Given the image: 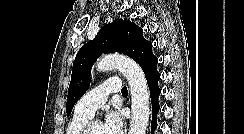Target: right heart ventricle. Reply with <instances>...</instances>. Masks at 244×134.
Wrapping results in <instances>:
<instances>
[{"instance_id":"e07e8e85","label":"right heart ventricle","mask_w":244,"mask_h":134,"mask_svg":"<svg viewBox=\"0 0 244 134\" xmlns=\"http://www.w3.org/2000/svg\"><path fill=\"white\" fill-rule=\"evenodd\" d=\"M90 119L91 117L88 115L74 112L71 120L68 122L66 134H81Z\"/></svg>"}]
</instances>
